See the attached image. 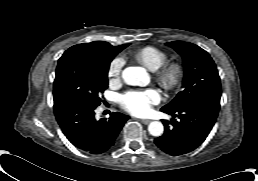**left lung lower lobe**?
<instances>
[{
	"mask_svg": "<svg viewBox=\"0 0 258 181\" xmlns=\"http://www.w3.org/2000/svg\"><path fill=\"white\" fill-rule=\"evenodd\" d=\"M219 109L220 102L215 101H202L175 111L161 109L162 112L178 117L179 120H162L165 131L154 140L156 146L173 156L193 151L210 133Z\"/></svg>",
	"mask_w": 258,
	"mask_h": 181,
	"instance_id": "0a47b994",
	"label": "left lung lower lobe"
}]
</instances>
